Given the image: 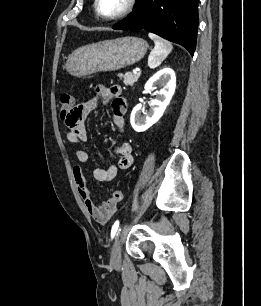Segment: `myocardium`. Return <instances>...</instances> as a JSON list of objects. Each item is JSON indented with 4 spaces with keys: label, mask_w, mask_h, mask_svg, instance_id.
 Masks as SVG:
<instances>
[{
    "label": "myocardium",
    "mask_w": 261,
    "mask_h": 306,
    "mask_svg": "<svg viewBox=\"0 0 261 306\" xmlns=\"http://www.w3.org/2000/svg\"><path fill=\"white\" fill-rule=\"evenodd\" d=\"M99 0H94V11L96 15L106 21H115L128 15L136 5V0H126L124 7L116 14L111 16L103 15L99 10Z\"/></svg>",
    "instance_id": "obj_1"
}]
</instances>
